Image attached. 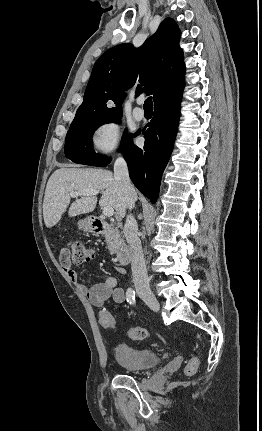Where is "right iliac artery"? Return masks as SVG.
Segmentation results:
<instances>
[{"label": "right iliac artery", "mask_w": 262, "mask_h": 431, "mask_svg": "<svg viewBox=\"0 0 262 431\" xmlns=\"http://www.w3.org/2000/svg\"><path fill=\"white\" fill-rule=\"evenodd\" d=\"M127 302L130 304H134L135 302V291L132 288H128L127 290Z\"/></svg>", "instance_id": "82829eb1"}]
</instances>
